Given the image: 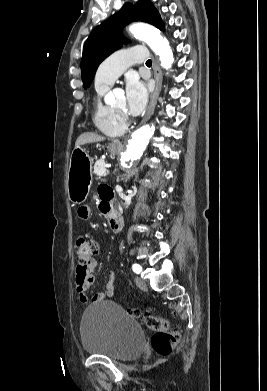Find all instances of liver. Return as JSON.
<instances>
[{
  "mask_svg": "<svg viewBox=\"0 0 267 391\" xmlns=\"http://www.w3.org/2000/svg\"><path fill=\"white\" fill-rule=\"evenodd\" d=\"M104 140H105L104 136L92 132H85L77 138L75 147H79L81 145L88 144V143L101 142Z\"/></svg>",
  "mask_w": 267,
  "mask_h": 391,
  "instance_id": "liver-1",
  "label": "liver"
}]
</instances>
